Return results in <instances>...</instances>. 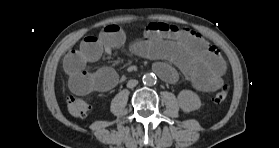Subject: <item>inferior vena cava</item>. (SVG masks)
Instances as JSON below:
<instances>
[{
	"instance_id": "1",
	"label": "inferior vena cava",
	"mask_w": 279,
	"mask_h": 148,
	"mask_svg": "<svg viewBox=\"0 0 279 148\" xmlns=\"http://www.w3.org/2000/svg\"><path fill=\"white\" fill-rule=\"evenodd\" d=\"M137 84H138V81H137V80L131 79V80L128 81L127 87H128V88H133V87H135Z\"/></svg>"
}]
</instances>
